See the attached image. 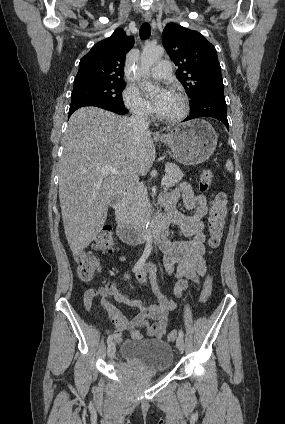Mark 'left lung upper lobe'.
Segmentation results:
<instances>
[{
  "mask_svg": "<svg viewBox=\"0 0 285 424\" xmlns=\"http://www.w3.org/2000/svg\"><path fill=\"white\" fill-rule=\"evenodd\" d=\"M162 41L171 60L178 66L176 77L190 96V105L204 93L223 90L216 49L203 35L169 23L163 30Z\"/></svg>",
  "mask_w": 285,
  "mask_h": 424,
  "instance_id": "5c2ea615",
  "label": "left lung upper lobe"
}]
</instances>
